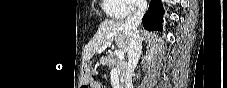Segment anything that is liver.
I'll return each instance as SVG.
<instances>
[{"label":"liver","instance_id":"liver-1","mask_svg":"<svg viewBox=\"0 0 227 88\" xmlns=\"http://www.w3.org/2000/svg\"><path fill=\"white\" fill-rule=\"evenodd\" d=\"M115 40L116 46L119 50L126 53L128 51V30L123 21L105 20L100 25L86 45L84 50V61H89L92 56L103 49V45L107 42Z\"/></svg>","mask_w":227,"mask_h":88}]
</instances>
